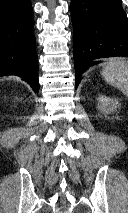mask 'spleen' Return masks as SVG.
Here are the masks:
<instances>
[{
  "mask_svg": "<svg viewBox=\"0 0 128 213\" xmlns=\"http://www.w3.org/2000/svg\"><path fill=\"white\" fill-rule=\"evenodd\" d=\"M101 75L104 80L128 97V61L123 58L109 59L104 63Z\"/></svg>",
  "mask_w": 128,
  "mask_h": 213,
  "instance_id": "obj_1",
  "label": "spleen"
}]
</instances>
